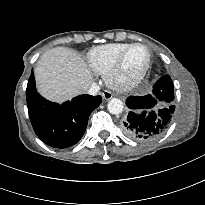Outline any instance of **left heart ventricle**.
<instances>
[{"mask_svg":"<svg viewBox=\"0 0 205 205\" xmlns=\"http://www.w3.org/2000/svg\"><path fill=\"white\" fill-rule=\"evenodd\" d=\"M147 61V52L143 47L133 48L124 64V73L126 76H131L137 73Z\"/></svg>","mask_w":205,"mask_h":205,"instance_id":"1","label":"left heart ventricle"}]
</instances>
